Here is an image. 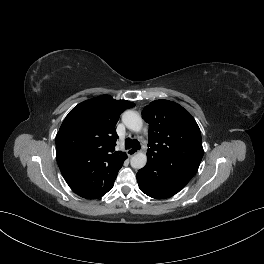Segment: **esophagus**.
I'll use <instances>...</instances> for the list:
<instances>
[{"mask_svg":"<svg viewBox=\"0 0 264 264\" xmlns=\"http://www.w3.org/2000/svg\"><path fill=\"white\" fill-rule=\"evenodd\" d=\"M136 153H138V150H137L136 148H130V149L127 150V154H128L129 156H133V155H135Z\"/></svg>","mask_w":264,"mask_h":264,"instance_id":"1","label":"esophagus"}]
</instances>
